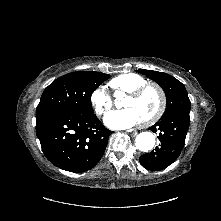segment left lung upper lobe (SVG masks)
Returning <instances> with one entry per match:
<instances>
[{
  "label": "left lung upper lobe",
  "mask_w": 221,
  "mask_h": 221,
  "mask_svg": "<svg viewBox=\"0 0 221 221\" xmlns=\"http://www.w3.org/2000/svg\"><path fill=\"white\" fill-rule=\"evenodd\" d=\"M137 72L146 74L164 90L167 105L162 117L176 111H190L191 102L185 86L179 80L167 73L158 71L140 69Z\"/></svg>",
  "instance_id": "obj_1"
}]
</instances>
